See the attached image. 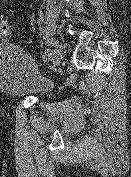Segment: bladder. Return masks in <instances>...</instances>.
Segmentation results:
<instances>
[{
	"instance_id": "obj_1",
	"label": "bladder",
	"mask_w": 131,
	"mask_h": 177,
	"mask_svg": "<svg viewBox=\"0 0 131 177\" xmlns=\"http://www.w3.org/2000/svg\"><path fill=\"white\" fill-rule=\"evenodd\" d=\"M52 83L39 72L33 59L21 48L6 44L0 48V90L7 95L22 97L46 96Z\"/></svg>"
}]
</instances>
